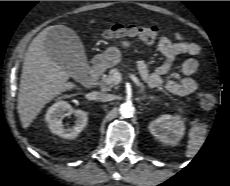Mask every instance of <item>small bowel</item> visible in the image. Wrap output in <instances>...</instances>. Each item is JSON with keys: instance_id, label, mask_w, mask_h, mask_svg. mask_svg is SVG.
Instances as JSON below:
<instances>
[{"instance_id": "obj_1", "label": "small bowel", "mask_w": 230, "mask_h": 186, "mask_svg": "<svg viewBox=\"0 0 230 186\" xmlns=\"http://www.w3.org/2000/svg\"><path fill=\"white\" fill-rule=\"evenodd\" d=\"M157 49L164 60L153 72H150L146 62L140 61L137 64L142 80L152 88L164 87L179 96L193 93L197 89V82L192 75L198 69V62L194 57L201 53V48L179 33H174L171 38L162 37L158 41ZM181 54L192 57L184 60L179 71H176L173 69L174 60Z\"/></svg>"}]
</instances>
